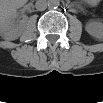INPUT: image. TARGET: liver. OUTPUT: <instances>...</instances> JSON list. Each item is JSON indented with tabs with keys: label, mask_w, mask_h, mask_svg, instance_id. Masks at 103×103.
<instances>
[{
	"label": "liver",
	"mask_w": 103,
	"mask_h": 103,
	"mask_svg": "<svg viewBox=\"0 0 103 103\" xmlns=\"http://www.w3.org/2000/svg\"><path fill=\"white\" fill-rule=\"evenodd\" d=\"M24 3V1L18 0L5 1L3 4V10L7 12L15 11L16 9L22 7Z\"/></svg>",
	"instance_id": "obj_1"
}]
</instances>
